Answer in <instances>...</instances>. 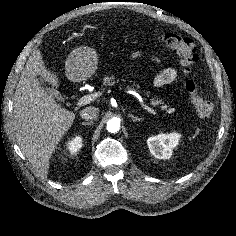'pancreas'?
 I'll use <instances>...</instances> for the list:
<instances>
[{"label": "pancreas", "instance_id": "1", "mask_svg": "<svg viewBox=\"0 0 236 236\" xmlns=\"http://www.w3.org/2000/svg\"><path fill=\"white\" fill-rule=\"evenodd\" d=\"M115 76L113 74L105 75L103 77V84L105 86H111L115 83ZM139 88V85L136 86ZM150 104L153 106H160L162 110H165L167 113H172L175 111L174 108L169 107L168 105L164 104L162 100H158L155 98L150 99Z\"/></svg>", "mask_w": 236, "mask_h": 236}]
</instances>
